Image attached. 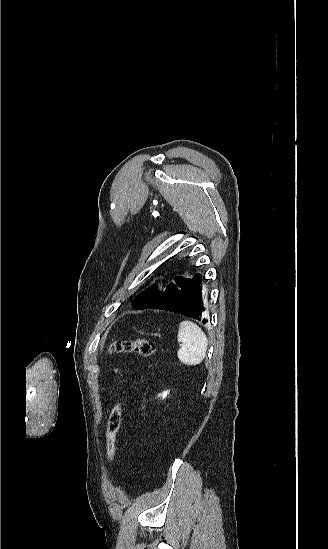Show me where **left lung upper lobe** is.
Masks as SVG:
<instances>
[{"label": "left lung upper lobe", "instance_id": "5c2ea615", "mask_svg": "<svg viewBox=\"0 0 328 549\" xmlns=\"http://www.w3.org/2000/svg\"><path fill=\"white\" fill-rule=\"evenodd\" d=\"M184 278L181 275L174 276V278L167 279L162 284L161 291L155 290V287L152 286L149 289L145 290L141 294H139L134 299V304L138 309H141L145 307L146 305H149L151 303H156L160 300H167L171 299V297L176 295V289L178 287L179 282ZM163 281V280H162Z\"/></svg>", "mask_w": 328, "mask_h": 549}]
</instances>
